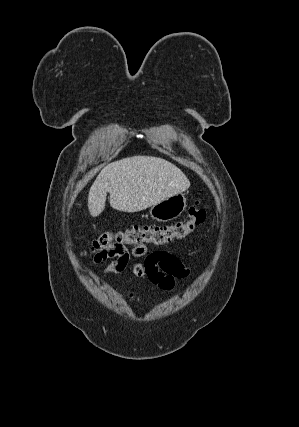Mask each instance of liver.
Masks as SVG:
<instances>
[{
  "label": "liver",
  "mask_w": 299,
  "mask_h": 427,
  "mask_svg": "<svg viewBox=\"0 0 299 427\" xmlns=\"http://www.w3.org/2000/svg\"><path fill=\"white\" fill-rule=\"evenodd\" d=\"M190 187L186 175L174 164L152 156H133L105 166L88 194L92 217L105 208L107 192L110 206L123 212H138Z\"/></svg>",
  "instance_id": "6515ba94"
}]
</instances>
